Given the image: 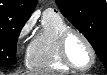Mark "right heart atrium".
<instances>
[{
  "instance_id": "obj_1",
  "label": "right heart atrium",
  "mask_w": 107,
  "mask_h": 75,
  "mask_svg": "<svg viewBox=\"0 0 107 75\" xmlns=\"http://www.w3.org/2000/svg\"><path fill=\"white\" fill-rule=\"evenodd\" d=\"M31 29V23L30 22H26L21 29L19 30L17 36H16V45L17 47H20L24 41L26 40L29 32Z\"/></svg>"
}]
</instances>
